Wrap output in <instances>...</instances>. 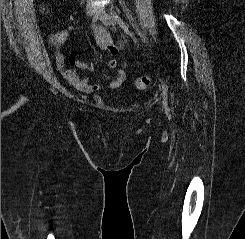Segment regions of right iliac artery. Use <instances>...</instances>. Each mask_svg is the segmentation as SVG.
Returning a JSON list of instances; mask_svg holds the SVG:
<instances>
[{"mask_svg":"<svg viewBox=\"0 0 245 239\" xmlns=\"http://www.w3.org/2000/svg\"><path fill=\"white\" fill-rule=\"evenodd\" d=\"M97 19L98 18L96 16L92 19V25H94L97 22Z\"/></svg>","mask_w":245,"mask_h":239,"instance_id":"obj_1","label":"right iliac artery"}]
</instances>
